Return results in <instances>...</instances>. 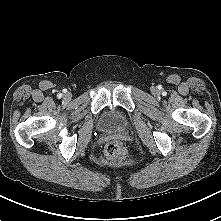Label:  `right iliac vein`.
<instances>
[{"label": "right iliac vein", "instance_id": "1", "mask_svg": "<svg viewBox=\"0 0 221 221\" xmlns=\"http://www.w3.org/2000/svg\"><path fill=\"white\" fill-rule=\"evenodd\" d=\"M65 97H66V98H69V97H70V95H69V94H66V95H65Z\"/></svg>", "mask_w": 221, "mask_h": 221}]
</instances>
